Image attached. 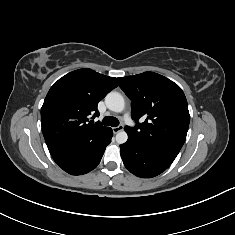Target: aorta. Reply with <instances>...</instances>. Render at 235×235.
<instances>
[{
    "mask_svg": "<svg viewBox=\"0 0 235 235\" xmlns=\"http://www.w3.org/2000/svg\"><path fill=\"white\" fill-rule=\"evenodd\" d=\"M105 103L109 110L116 112V113L122 112L125 108L124 98L118 92L112 91L108 93L107 96L105 97ZM127 139H128V135L125 131H119L116 134V141L119 144L125 143Z\"/></svg>",
    "mask_w": 235,
    "mask_h": 235,
    "instance_id": "obj_1",
    "label": "aorta"
}]
</instances>
